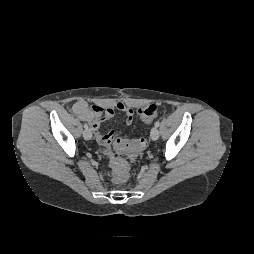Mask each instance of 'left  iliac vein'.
I'll use <instances>...</instances> for the list:
<instances>
[{
  "label": "left iliac vein",
  "instance_id": "4c4485c4",
  "mask_svg": "<svg viewBox=\"0 0 254 254\" xmlns=\"http://www.w3.org/2000/svg\"><path fill=\"white\" fill-rule=\"evenodd\" d=\"M151 139L156 141L159 138V130L157 127H153L150 132Z\"/></svg>",
  "mask_w": 254,
  "mask_h": 254
}]
</instances>
